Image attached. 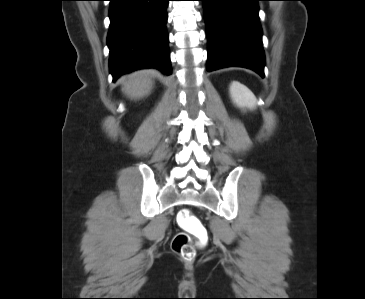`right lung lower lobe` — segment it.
Segmentation results:
<instances>
[{
    "instance_id": "obj_1",
    "label": "right lung lower lobe",
    "mask_w": 365,
    "mask_h": 299,
    "mask_svg": "<svg viewBox=\"0 0 365 299\" xmlns=\"http://www.w3.org/2000/svg\"><path fill=\"white\" fill-rule=\"evenodd\" d=\"M109 70L115 81L122 74L156 68L171 74L168 33L169 0H109Z\"/></svg>"
}]
</instances>
